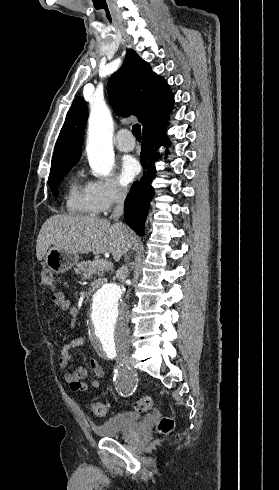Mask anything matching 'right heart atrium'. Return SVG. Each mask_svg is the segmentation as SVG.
Here are the masks:
<instances>
[{
    "label": "right heart atrium",
    "mask_w": 279,
    "mask_h": 490,
    "mask_svg": "<svg viewBox=\"0 0 279 490\" xmlns=\"http://www.w3.org/2000/svg\"><path fill=\"white\" fill-rule=\"evenodd\" d=\"M126 192V187L115 177L89 178L84 186L89 210L96 216L107 214L113 205L123 199Z\"/></svg>",
    "instance_id": "1"
}]
</instances>
